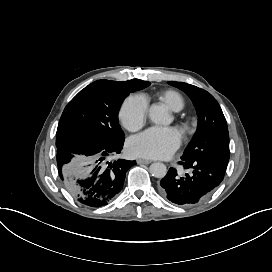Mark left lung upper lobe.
<instances>
[{"mask_svg": "<svg viewBox=\"0 0 272 272\" xmlns=\"http://www.w3.org/2000/svg\"><path fill=\"white\" fill-rule=\"evenodd\" d=\"M168 83L190 97L198 115L197 131L181 159H212L228 164L229 133L225 117L216 99L196 86L176 81Z\"/></svg>", "mask_w": 272, "mask_h": 272, "instance_id": "obj_1", "label": "left lung upper lobe"}]
</instances>
